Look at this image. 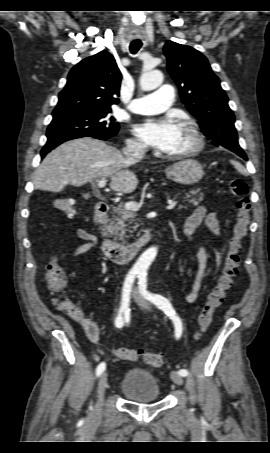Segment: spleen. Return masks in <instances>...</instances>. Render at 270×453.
Wrapping results in <instances>:
<instances>
[{"label": "spleen", "mask_w": 270, "mask_h": 453, "mask_svg": "<svg viewBox=\"0 0 270 453\" xmlns=\"http://www.w3.org/2000/svg\"><path fill=\"white\" fill-rule=\"evenodd\" d=\"M231 163L233 164V166L236 168V170L238 172L245 174L246 170L239 162L231 160Z\"/></svg>", "instance_id": "spleen-1"}]
</instances>
